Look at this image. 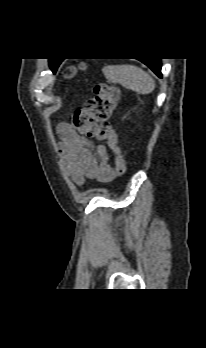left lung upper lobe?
<instances>
[{
  "instance_id": "5c2ea615",
  "label": "left lung upper lobe",
  "mask_w": 206,
  "mask_h": 348,
  "mask_svg": "<svg viewBox=\"0 0 206 348\" xmlns=\"http://www.w3.org/2000/svg\"><path fill=\"white\" fill-rule=\"evenodd\" d=\"M60 63H61V61H59V60H53V59L49 60V65H50V68L52 69L53 72L56 71V69L58 68Z\"/></svg>"
}]
</instances>
